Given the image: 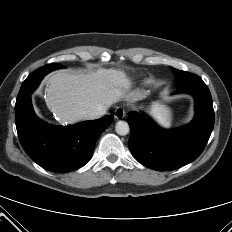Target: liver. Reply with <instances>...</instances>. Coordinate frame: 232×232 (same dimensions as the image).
<instances>
[{
    "mask_svg": "<svg viewBox=\"0 0 232 232\" xmlns=\"http://www.w3.org/2000/svg\"><path fill=\"white\" fill-rule=\"evenodd\" d=\"M47 106L60 123L74 124L85 114L100 107L108 108L119 100L135 102L146 97L141 91H130L131 80L118 69L100 68L94 72L58 70L46 79Z\"/></svg>",
    "mask_w": 232,
    "mask_h": 232,
    "instance_id": "6515ba94",
    "label": "liver"
}]
</instances>
